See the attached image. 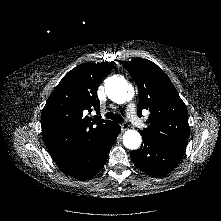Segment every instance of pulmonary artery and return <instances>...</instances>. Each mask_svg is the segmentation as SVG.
Returning a JSON list of instances; mask_svg holds the SVG:
<instances>
[{
	"mask_svg": "<svg viewBox=\"0 0 221 221\" xmlns=\"http://www.w3.org/2000/svg\"><path fill=\"white\" fill-rule=\"evenodd\" d=\"M127 115L129 119L132 121V123L138 125L139 120L136 116V110H135V105L133 103H129L127 106Z\"/></svg>",
	"mask_w": 221,
	"mask_h": 221,
	"instance_id": "pulmonary-artery-1",
	"label": "pulmonary artery"
}]
</instances>
